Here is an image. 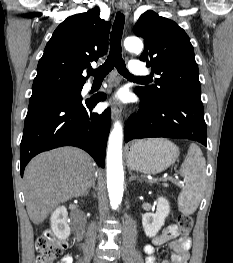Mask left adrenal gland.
<instances>
[{"label": "left adrenal gland", "instance_id": "left-adrenal-gland-1", "mask_svg": "<svg viewBox=\"0 0 233 263\" xmlns=\"http://www.w3.org/2000/svg\"><path fill=\"white\" fill-rule=\"evenodd\" d=\"M129 174H130V178H129V181H130V182L133 181V180H138V181H140V182L142 181V178L134 175L131 171L129 172Z\"/></svg>", "mask_w": 233, "mask_h": 263}]
</instances>
